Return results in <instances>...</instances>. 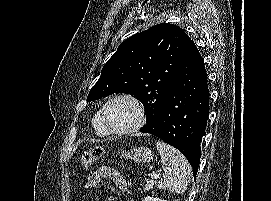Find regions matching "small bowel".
I'll return each instance as SVG.
<instances>
[{"instance_id": "obj_1", "label": "small bowel", "mask_w": 271, "mask_h": 201, "mask_svg": "<svg viewBox=\"0 0 271 201\" xmlns=\"http://www.w3.org/2000/svg\"><path fill=\"white\" fill-rule=\"evenodd\" d=\"M103 179H110L120 192H126L128 189L124 176L116 169L107 166H100L90 173L86 180V188H97Z\"/></svg>"}]
</instances>
